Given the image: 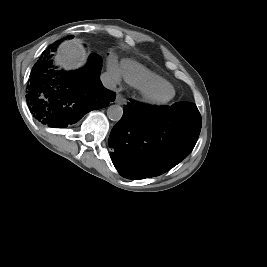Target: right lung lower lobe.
I'll return each mask as SVG.
<instances>
[{
	"instance_id": "obj_1",
	"label": "right lung lower lobe",
	"mask_w": 267,
	"mask_h": 267,
	"mask_svg": "<svg viewBox=\"0 0 267 267\" xmlns=\"http://www.w3.org/2000/svg\"><path fill=\"white\" fill-rule=\"evenodd\" d=\"M57 45L50 46V51L54 52ZM43 54L33 67L26 95L29 110L40 123L65 128L115 100V93L100 81L101 58L97 55H91L84 68L63 72L52 67L49 51Z\"/></svg>"
}]
</instances>
